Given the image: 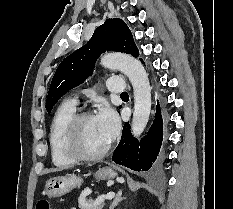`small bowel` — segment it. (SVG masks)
I'll return each instance as SVG.
<instances>
[{
	"label": "small bowel",
	"mask_w": 233,
	"mask_h": 209,
	"mask_svg": "<svg viewBox=\"0 0 233 209\" xmlns=\"http://www.w3.org/2000/svg\"><path fill=\"white\" fill-rule=\"evenodd\" d=\"M71 209H78V208H76V207H73V208H71Z\"/></svg>",
	"instance_id": "small-bowel-1"
}]
</instances>
